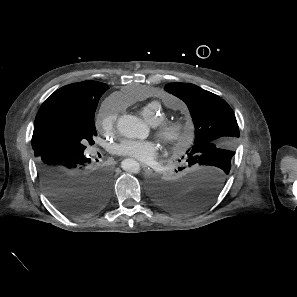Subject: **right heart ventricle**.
<instances>
[{"mask_svg":"<svg viewBox=\"0 0 297 297\" xmlns=\"http://www.w3.org/2000/svg\"><path fill=\"white\" fill-rule=\"evenodd\" d=\"M161 105V101H151L141 108L140 113L147 122L154 124L164 117V114L160 111Z\"/></svg>","mask_w":297,"mask_h":297,"instance_id":"right-heart-ventricle-1","label":"right heart ventricle"}]
</instances>
